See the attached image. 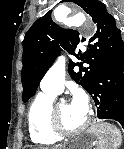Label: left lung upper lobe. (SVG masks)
<instances>
[{
	"instance_id": "1",
	"label": "left lung upper lobe",
	"mask_w": 124,
	"mask_h": 149,
	"mask_svg": "<svg viewBox=\"0 0 124 149\" xmlns=\"http://www.w3.org/2000/svg\"><path fill=\"white\" fill-rule=\"evenodd\" d=\"M87 12L96 24V33L89 39L88 50L75 54L77 44L86 41L77 31L63 29L53 22L52 10L39 18L28 30L23 45L21 81L22 99L27 102L58 57L62 49L89 64L69 62V73L72 79L85 90L89 88L100 68L124 55V42L121 31L116 27L115 19L106 11V6L98 0H72ZM80 66V70L73 69Z\"/></svg>"
}]
</instances>
